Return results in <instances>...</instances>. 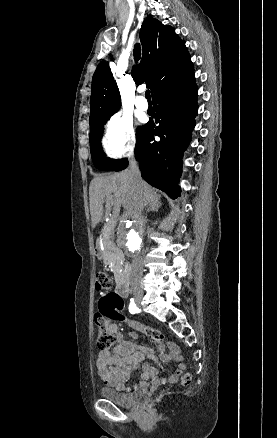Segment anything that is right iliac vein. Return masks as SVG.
Wrapping results in <instances>:
<instances>
[{
    "label": "right iliac vein",
    "instance_id": "right-iliac-vein-1",
    "mask_svg": "<svg viewBox=\"0 0 277 438\" xmlns=\"http://www.w3.org/2000/svg\"><path fill=\"white\" fill-rule=\"evenodd\" d=\"M141 300V297H137L136 301L139 303Z\"/></svg>",
    "mask_w": 277,
    "mask_h": 438
}]
</instances>
